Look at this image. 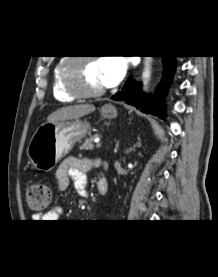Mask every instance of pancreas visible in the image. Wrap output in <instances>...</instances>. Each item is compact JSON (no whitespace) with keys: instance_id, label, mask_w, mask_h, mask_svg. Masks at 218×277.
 Returning <instances> with one entry per match:
<instances>
[{"instance_id":"obj_1","label":"pancreas","mask_w":218,"mask_h":277,"mask_svg":"<svg viewBox=\"0 0 218 277\" xmlns=\"http://www.w3.org/2000/svg\"><path fill=\"white\" fill-rule=\"evenodd\" d=\"M98 135H93L90 136L89 138H87L84 143L82 144V146L80 147L81 150H93L94 148V144L93 141L95 140V138H97Z\"/></svg>"}]
</instances>
